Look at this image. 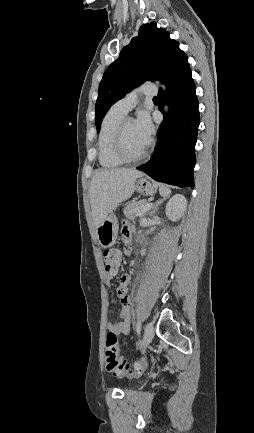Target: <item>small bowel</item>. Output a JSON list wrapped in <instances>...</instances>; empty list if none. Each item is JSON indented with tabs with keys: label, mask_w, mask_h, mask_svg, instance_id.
Listing matches in <instances>:
<instances>
[{
	"label": "small bowel",
	"mask_w": 254,
	"mask_h": 433,
	"mask_svg": "<svg viewBox=\"0 0 254 433\" xmlns=\"http://www.w3.org/2000/svg\"><path fill=\"white\" fill-rule=\"evenodd\" d=\"M122 234L126 241L132 238V230L128 224H125L123 226ZM114 275L107 274V281L109 282ZM130 280L131 273L123 274L120 277L119 285L117 288V295L121 302V308L118 313V317L120 318V320L117 322L106 323V329L109 332H114L117 335H128L130 332L131 301L128 295V285L130 283Z\"/></svg>",
	"instance_id": "1"
}]
</instances>
